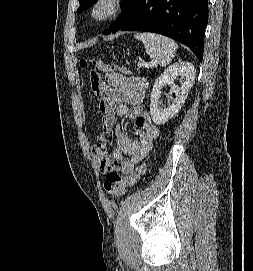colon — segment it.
<instances>
[{
    "instance_id": "obj_1",
    "label": "colon",
    "mask_w": 253,
    "mask_h": 271,
    "mask_svg": "<svg viewBox=\"0 0 253 271\" xmlns=\"http://www.w3.org/2000/svg\"><path fill=\"white\" fill-rule=\"evenodd\" d=\"M82 65L84 67H88L90 65L94 66L95 68L107 72V71H121L126 72L123 67L108 64L107 62L101 59H84L82 60ZM90 88L92 92L96 95L99 94L102 89V82L97 73H91L90 76ZM144 173V165H139L136 170L131 172L128 175H119L115 172H111L104 182V189L108 194L113 197H121L126 192L127 188L133 186L137 183V181L141 178Z\"/></svg>"
}]
</instances>
